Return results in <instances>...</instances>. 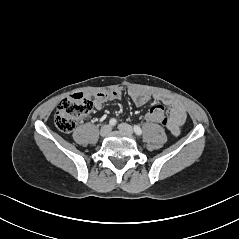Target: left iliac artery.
Listing matches in <instances>:
<instances>
[{
	"mask_svg": "<svg viewBox=\"0 0 239 239\" xmlns=\"http://www.w3.org/2000/svg\"><path fill=\"white\" fill-rule=\"evenodd\" d=\"M134 131L138 136H140L142 134V130L138 125L134 126Z\"/></svg>",
	"mask_w": 239,
	"mask_h": 239,
	"instance_id": "left-iliac-artery-1",
	"label": "left iliac artery"
}]
</instances>
